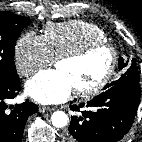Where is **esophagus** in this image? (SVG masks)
<instances>
[{
  "mask_svg": "<svg viewBox=\"0 0 142 142\" xmlns=\"http://www.w3.org/2000/svg\"><path fill=\"white\" fill-rule=\"evenodd\" d=\"M52 110H53V108H51V107L39 106V112H40V113H44V112H46V111H52Z\"/></svg>",
  "mask_w": 142,
  "mask_h": 142,
  "instance_id": "34e87169",
  "label": "esophagus"
}]
</instances>
